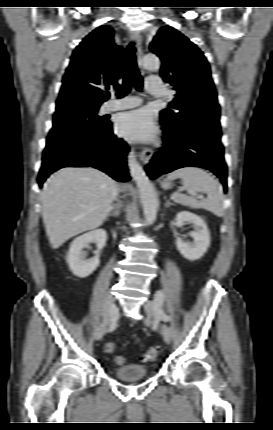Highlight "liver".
<instances>
[{
	"label": "liver",
	"instance_id": "obj_1",
	"mask_svg": "<svg viewBox=\"0 0 273 430\" xmlns=\"http://www.w3.org/2000/svg\"><path fill=\"white\" fill-rule=\"evenodd\" d=\"M115 187L112 177L93 167H65L52 174L40 195L52 248L101 226L112 209Z\"/></svg>",
	"mask_w": 273,
	"mask_h": 430
}]
</instances>
